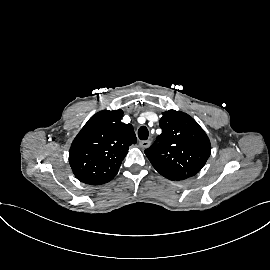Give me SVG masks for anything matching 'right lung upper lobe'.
I'll list each match as a JSON object with an SVG mask.
<instances>
[{
    "label": "right lung upper lobe",
    "instance_id": "obj_1",
    "mask_svg": "<svg viewBox=\"0 0 270 270\" xmlns=\"http://www.w3.org/2000/svg\"><path fill=\"white\" fill-rule=\"evenodd\" d=\"M122 110L93 115L72 142L69 163L76 178L90 185L111 181L130 145L137 142L131 124L121 122Z\"/></svg>",
    "mask_w": 270,
    "mask_h": 270
}]
</instances>
